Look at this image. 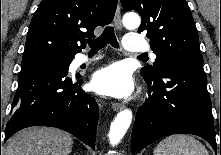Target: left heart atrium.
<instances>
[{
	"mask_svg": "<svg viewBox=\"0 0 221 155\" xmlns=\"http://www.w3.org/2000/svg\"><path fill=\"white\" fill-rule=\"evenodd\" d=\"M91 86L98 94L122 98L131 94L134 82L125 65L113 63L94 73Z\"/></svg>",
	"mask_w": 221,
	"mask_h": 155,
	"instance_id": "39dd6f15",
	"label": "left heart atrium"
}]
</instances>
